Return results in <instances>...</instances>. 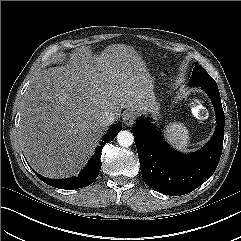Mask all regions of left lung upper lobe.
Here are the masks:
<instances>
[{
  "label": "left lung upper lobe",
  "mask_w": 241,
  "mask_h": 241,
  "mask_svg": "<svg viewBox=\"0 0 241 241\" xmlns=\"http://www.w3.org/2000/svg\"><path fill=\"white\" fill-rule=\"evenodd\" d=\"M189 85L198 87L218 88L215 80L199 64H196L193 68V72L189 80Z\"/></svg>",
  "instance_id": "1"
}]
</instances>
